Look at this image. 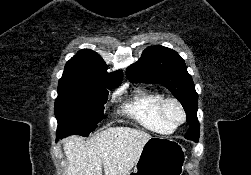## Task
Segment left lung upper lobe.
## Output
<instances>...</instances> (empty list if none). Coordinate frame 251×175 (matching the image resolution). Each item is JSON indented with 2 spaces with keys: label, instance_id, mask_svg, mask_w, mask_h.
<instances>
[{
  "label": "left lung upper lobe",
  "instance_id": "left-lung-upper-lobe-1",
  "mask_svg": "<svg viewBox=\"0 0 251 175\" xmlns=\"http://www.w3.org/2000/svg\"><path fill=\"white\" fill-rule=\"evenodd\" d=\"M126 74L134 83H158L169 89L186 111L189 128L185 138L198 141V94L185 61L176 51L160 45L150 46L136 63L127 68Z\"/></svg>",
  "mask_w": 251,
  "mask_h": 175
}]
</instances>
